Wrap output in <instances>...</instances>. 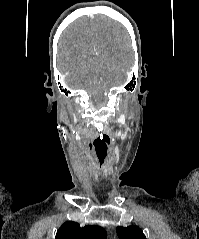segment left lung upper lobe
<instances>
[{"label": "left lung upper lobe", "mask_w": 199, "mask_h": 239, "mask_svg": "<svg viewBox=\"0 0 199 239\" xmlns=\"http://www.w3.org/2000/svg\"><path fill=\"white\" fill-rule=\"evenodd\" d=\"M119 239H146L143 232L136 226L117 227Z\"/></svg>", "instance_id": "1"}]
</instances>
